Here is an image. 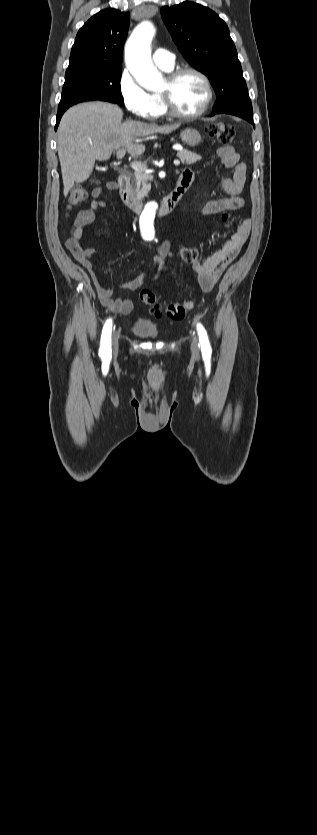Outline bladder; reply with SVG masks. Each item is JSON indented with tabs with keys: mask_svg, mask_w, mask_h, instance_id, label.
<instances>
[{
	"mask_svg": "<svg viewBox=\"0 0 317 835\" xmlns=\"http://www.w3.org/2000/svg\"><path fill=\"white\" fill-rule=\"evenodd\" d=\"M132 331L140 337H155L158 333L156 323L150 319H139L132 326Z\"/></svg>",
	"mask_w": 317,
	"mask_h": 835,
	"instance_id": "31cf9c89",
	"label": "bladder"
}]
</instances>
